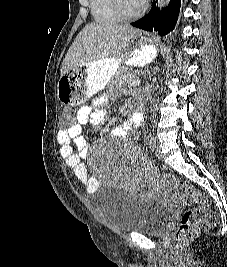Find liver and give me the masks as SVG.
Segmentation results:
<instances>
[{
	"instance_id": "obj_1",
	"label": "liver",
	"mask_w": 227,
	"mask_h": 267,
	"mask_svg": "<svg viewBox=\"0 0 227 267\" xmlns=\"http://www.w3.org/2000/svg\"><path fill=\"white\" fill-rule=\"evenodd\" d=\"M136 33L141 31L129 25L87 24L67 52L62 63L61 76L80 65L119 55L136 39Z\"/></svg>"
}]
</instances>
